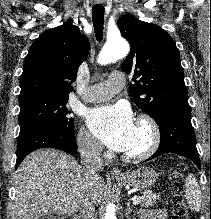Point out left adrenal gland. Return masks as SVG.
<instances>
[{
	"instance_id": "left-adrenal-gland-1",
	"label": "left adrenal gland",
	"mask_w": 211,
	"mask_h": 219,
	"mask_svg": "<svg viewBox=\"0 0 211 219\" xmlns=\"http://www.w3.org/2000/svg\"><path fill=\"white\" fill-rule=\"evenodd\" d=\"M132 212V210H131V208L130 207H127L126 208V217H127V219H130V216H129V214ZM135 215V214H134Z\"/></svg>"
}]
</instances>
